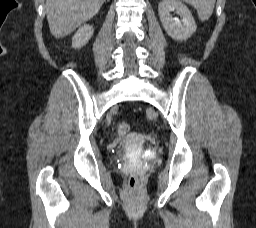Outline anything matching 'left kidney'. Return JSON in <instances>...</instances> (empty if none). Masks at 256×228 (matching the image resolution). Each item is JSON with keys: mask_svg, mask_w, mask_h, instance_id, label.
Here are the masks:
<instances>
[{"mask_svg": "<svg viewBox=\"0 0 256 228\" xmlns=\"http://www.w3.org/2000/svg\"><path fill=\"white\" fill-rule=\"evenodd\" d=\"M173 11L182 18L181 22L171 16L170 12ZM158 12L163 28L173 39L186 40L196 31V24L191 12L179 0H163L159 3Z\"/></svg>", "mask_w": 256, "mask_h": 228, "instance_id": "left-kidney-1", "label": "left kidney"}]
</instances>
